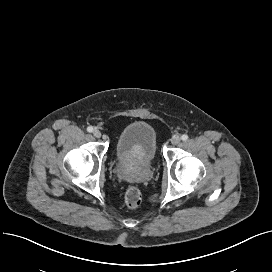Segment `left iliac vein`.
<instances>
[{
    "instance_id": "1",
    "label": "left iliac vein",
    "mask_w": 272,
    "mask_h": 272,
    "mask_svg": "<svg viewBox=\"0 0 272 272\" xmlns=\"http://www.w3.org/2000/svg\"><path fill=\"white\" fill-rule=\"evenodd\" d=\"M180 141H181V138H180L178 135L173 136L172 139H171V143H172L173 145L179 144Z\"/></svg>"
}]
</instances>
